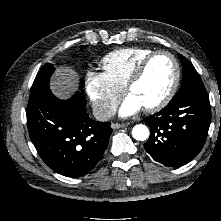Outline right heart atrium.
<instances>
[{"instance_id": "1", "label": "right heart atrium", "mask_w": 221, "mask_h": 221, "mask_svg": "<svg viewBox=\"0 0 221 221\" xmlns=\"http://www.w3.org/2000/svg\"><path fill=\"white\" fill-rule=\"evenodd\" d=\"M85 90L94 112L101 119L112 113L123 94V88L116 85L104 72H88Z\"/></svg>"}]
</instances>
